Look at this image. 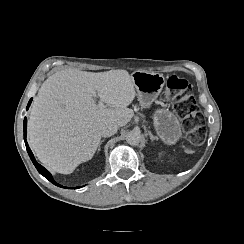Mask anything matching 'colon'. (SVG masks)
<instances>
[{
	"label": "colon",
	"instance_id": "5ec220e1",
	"mask_svg": "<svg viewBox=\"0 0 244 244\" xmlns=\"http://www.w3.org/2000/svg\"><path fill=\"white\" fill-rule=\"evenodd\" d=\"M191 84L176 75L166 81L162 99L174 103L176 113L185 118V125L189 130V139L193 144H201L206 138L204 117L191 94Z\"/></svg>",
	"mask_w": 244,
	"mask_h": 244
}]
</instances>
